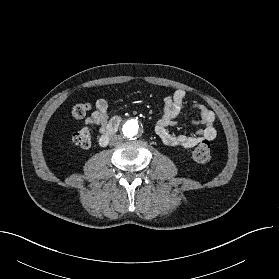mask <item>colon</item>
Listing matches in <instances>:
<instances>
[{
  "label": "colon",
  "instance_id": "obj_1",
  "mask_svg": "<svg viewBox=\"0 0 279 279\" xmlns=\"http://www.w3.org/2000/svg\"><path fill=\"white\" fill-rule=\"evenodd\" d=\"M89 110V105L86 103H77L72 107V115L74 118H83ZM72 142L81 148H88L92 143V133L90 128L83 127L73 133ZM211 158L210 143L205 141L198 145L193 151V159L198 163H207Z\"/></svg>",
  "mask_w": 279,
  "mask_h": 279
}]
</instances>
